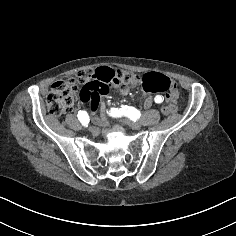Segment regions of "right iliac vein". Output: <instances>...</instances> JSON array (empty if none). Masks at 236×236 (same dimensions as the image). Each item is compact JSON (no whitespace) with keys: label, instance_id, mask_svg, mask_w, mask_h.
<instances>
[{"label":"right iliac vein","instance_id":"63e3f726","mask_svg":"<svg viewBox=\"0 0 236 236\" xmlns=\"http://www.w3.org/2000/svg\"><path fill=\"white\" fill-rule=\"evenodd\" d=\"M95 130V127L94 126H91L90 128H89V131L90 132H93Z\"/></svg>","mask_w":236,"mask_h":236}]
</instances>
